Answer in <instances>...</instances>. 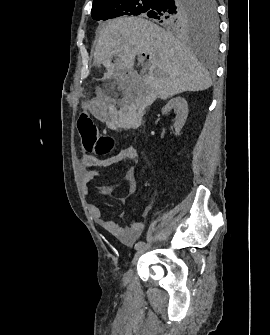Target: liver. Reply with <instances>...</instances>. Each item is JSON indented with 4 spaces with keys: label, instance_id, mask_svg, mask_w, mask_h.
I'll list each match as a JSON object with an SVG mask.
<instances>
[{
    "label": "liver",
    "instance_id": "obj_1",
    "mask_svg": "<svg viewBox=\"0 0 270 335\" xmlns=\"http://www.w3.org/2000/svg\"><path fill=\"white\" fill-rule=\"evenodd\" d=\"M138 54L149 56V72L140 78L147 100H167L181 92L207 90L212 84L209 72L186 44L141 16L110 20L100 32L94 58L96 64L120 74L133 70Z\"/></svg>",
    "mask_w": 270,
    "mask_h": 335
}]
</instances>
